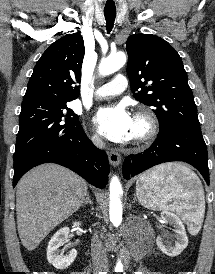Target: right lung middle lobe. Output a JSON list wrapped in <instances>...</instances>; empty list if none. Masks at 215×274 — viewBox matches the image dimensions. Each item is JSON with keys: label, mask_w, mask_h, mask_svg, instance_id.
<instances>
[{"label": "right lung middle lobe", "mask_w": 215, "mask_h": 274, "mask_svg": "<svg viewBox=\"0 0 215 274\" xmlns=\"http://www.w3.org/2000/svg\"><path fill=\"white\" fill-rule=\"evenodd\" d=\"M14 164L43 144L81 128L67 101L39 100L22 104Z\"/></svg>", "instance_id": "right-lung-middle-lobe-1"}]
</instances>
